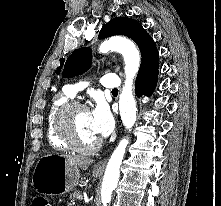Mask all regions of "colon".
I'll use <instances>...</instances> for the list:
<instances>
[{
    "label": "colon",
    "instance_id": "colon-1",
    "mask_svg": "<svg viewBox=\"0 0 221 206\" xmlns=\"http://www.w3.org/2000/svg\"><path fill=\"white\" fill-rule=\"evenodd\" d=\"M30 206H50V205L43 198H35V199L32 200Z\"/></svg>",
    "mask_w": 221,
    "mask_h": 206
}]
</instances>
